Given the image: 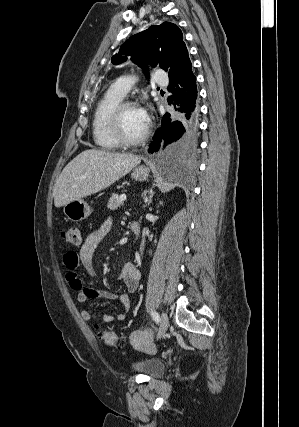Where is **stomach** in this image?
<instances>
[{"mask_svg": "<svg viewBox=\"0 0 299 427\" xmlns=\"http://www.w3.org/2000/svg\"><path fill=\"white\" fill-rule=\"evenodd\" d=\"M148 175L149 169L145 166H138L132 172V178L138 181L146 180ZM63 212L69 220L78 222L90 216L92 208L83 199H79L65 204Z\"/></svg>", "mask_w": 299, "mask_h": 427, "instance_id": "0dacf381", "label": "stomach"}]
</instances>
